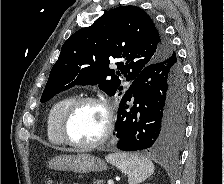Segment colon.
I'll return each mask as SVG.
<instances>
[{"label":"colon","instance_id":"1","mask_svg":"<svg viewBox=\"0 0 224 184\" xmlns=\"http://www.w3.org/2000/svg\"><path fill=\"white\" fill-rule=\"evenodd\" d=\"M45 184H52V183H51V180H49V179L46 180V181H45Z\"/></svg>","mask_w":224,"mask_h":184}]
</instances>
